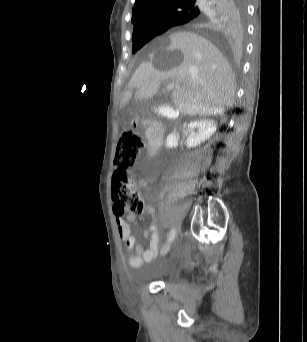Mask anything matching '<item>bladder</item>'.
<instances>
[{"label": "bladder", "instance_id": "31cf9c89", "mask_svg": "<svg viewBox=\"0 0 307 342\" xmlns=\"http://www.w3.org/2000/svg\"><path fill=\"white\" fill-rule=\"evenodd\" d=\"M154 280L168 282L175 279L174 273H172L168 268H160L154 274Z\"/></svg>", "mask_w": 307, "mask_h": 342}]
</instances>
